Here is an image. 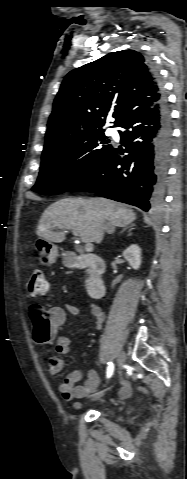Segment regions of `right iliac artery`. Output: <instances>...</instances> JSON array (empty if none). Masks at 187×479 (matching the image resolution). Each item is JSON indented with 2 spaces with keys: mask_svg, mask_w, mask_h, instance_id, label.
<instances>
[{
  "mask_svg": "<svg viewBox=\"0 0 187 479\" xmlns=\"http://www.w3.org/2000/svg\"><path fill=\"white\" fill-rule=\"evenodd\" d=\"M114 371V364L112 362H108L107 367V378L111 377Z\"/></svg>",
  "mask_w": 187,
  "mask_h": 479,
  "instance_id": "obj_1",
  "label": "right iliac artery"
}]
</instances>
